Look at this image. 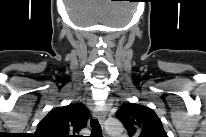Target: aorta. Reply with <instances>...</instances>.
Returning a JSON list of instances; mask_svg holds the SVG:
<instances>
[{
  "label": "aorta",
  "mask_w": 206,
  "mask_h": 137,
  "mask_svg": "<svg viewBox=\"0 0 206 137\" xmlns=\"http://www.w3.org/2000/svg\"><path fill=\"white\" fill-rule=\"evenodd\" d=\"M106 130H107L108 134H110L112 136H117V135L122 134L124 128H123V125L119 121H116L114 123L109 122L107 124Z\"/></svg>",
  "instance_id": "aorta-1"
}]
</instances>
